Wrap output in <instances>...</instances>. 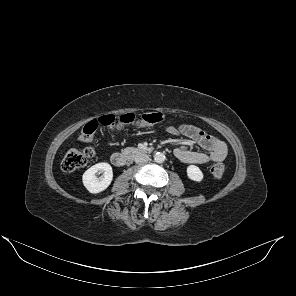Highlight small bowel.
<instances>
[{
    "instance_id": "obj_1",
    "label": "small bowel",
    "mask_w": 296,
    "mask_h": 296,
    "mask_svg": "<svg viewBox=\"0 0 296 296\" xmlns=\"http://www.w3.org/2000/svg\"><path fill=\"white\" fill-rule=\"evenodd\" d=\"M166 131L172 135H183L191 144L199 145L207 150L200 152L190 149L188 145H181L174 149V156L183 163L205 164L209 162H222L227 156V146L220 138L210 135L191 124L168 126ZM190 144V145H191Z\"/></svg>"
}]
</instances>
